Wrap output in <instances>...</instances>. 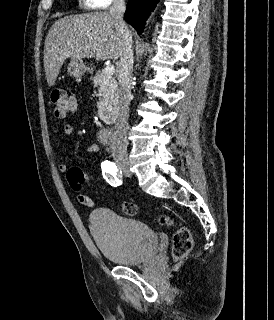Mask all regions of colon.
Masks as SVG:
<instances>
[{"label": "colon", "instance_id": "obj_1", "mask_svg": "<svg viewBox=\"0 0 274 320\" xmlns=\"http://www.w3.org/2000/svg\"><path fill=\"white\" fill-rule=\"evenodd\" d=\"M52 104V113L54 118L58 120L65 119L69 114H73L76 110L75 100L69 96L63 88H54L49 96ZM66 178L70 186L79 191L82 182H87V175H83L82 171L77 167L70 168L66 173ZM122 213L126 216H135L138 208L135 204L124 201L121 203ZM162 222L168 226L173 224V219L169 216H163ZM193 248L192 237L190 231L185 226H179L174 232L173 255L176 260H182Z\"/></svg>", "mask_w": 274, "mask_h": 320}]
</instances>
